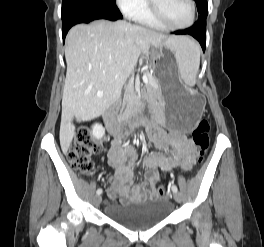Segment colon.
Instances as JSON below:
<instances>
[{
    "label": "colon",
    "mask_w": 264,
    "mask_h": 247,
    "mask_svg": "<svg viewBox=\"0 0 264 247\" xmlns=\"http://www.w3.org/2000/svg\"><path fill=\"white\" fill-rule=\"evenodd\" d=\"M209 123L206 119H201L194 131L193 142L198 149L199 161H203L204 155L209 146ZM101 149L100 143L92 138L86 132H80L72 143L67 159L71 167L82 174H91L94 169L92 157ZM159 197L163 198L169 194V190L165 186H159L156 189Z\"/></svg>",
    "instance_id": "1"
}]
</instances>
